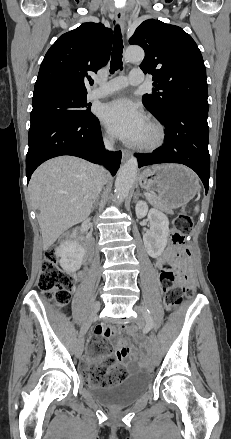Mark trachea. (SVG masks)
<instances>
[{"label":"trachea","mask_w":231,"mask_h":439,"mask_svg":"<svg viewBox=\"0 0 231 439\" xmlns=\"http://www.w3.org/2000/svg\"><path fill=\"white\" fill-rule=\"evenodd\" d=\"M122 53H123V40L120 30V26L116 25L114 29V43L111 56L110 73L113 74L116 70L122 69Z\"/></svg>","instance_id":"1"}]
</instances>
